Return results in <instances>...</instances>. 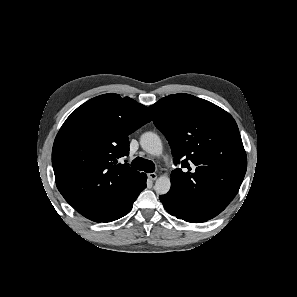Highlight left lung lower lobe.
<instances>
[{"label":"left lung lower lobe","mask_w":297,"mask_h":297,"mask_svg":"<svg viewBox=\"0 0 297 297\" xmlns=\"http://www.w3.org/2000/svg\"><path fill=\"white\" fill-rule=\"evenodd\" d=\"M160 200L168 213L176 216L178 219L191 223H202L211 219L184 205L177 196L169 192L160 196Z\"/></svg>","instance_id":"obj_1"}]
</instances>
